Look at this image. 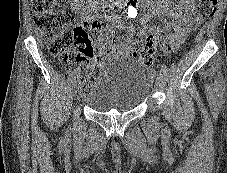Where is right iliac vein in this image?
<instances>
[{
  "instance_id": "1",
  "label": "right iliac vein",
  "mask_w": 227,
  "mask_h": 173,
  "mask_svg": "<svg viewBox=\"0 0 227 173\" xmlns=\"http://www.w3.org/2000/svg\"><path fill=\"white\" fill-rule=\"evenodd\" d=\"M76 87H77V84H76V81H74L72 83V89H71L72 96H75L76 94Z\"/></svg>"
}]
</instances>
